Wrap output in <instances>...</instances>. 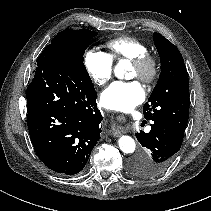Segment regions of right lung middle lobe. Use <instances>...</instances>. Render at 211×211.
Segmentation results:
<instances>
[{"label": "right lung middle lobe", "instance_id": "dd1d6c3e", "mask_svg": "<svg viewBox=\"0 0 211 211\" xmlns=\"http://www.w3.org/2000/svg\"><path fill=\"white\" fill-rule=\"evenodd\" d=\"M97 32L88 29L64 30L58 33L41 55H53L64 66L84 80L92 82L83 64V54L90 44V39Z\"/></svg>", "mask_w": 211, "mask_h": 211}]
</instances>
